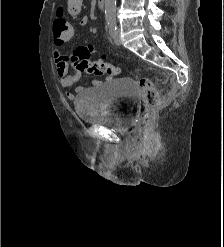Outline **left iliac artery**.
Masks as SVG:
<instances>
[{"label":"left iliac artery","mask_w":224,"mask_h":247,"mask_svg":"<svg viewBox=\"0 0 224 247\" xmlns=\"http://www.w3.org/2000/svg\"><path fill=\"white\" fill-rule=\"evenodd\" d=\"M107 23L109 27V32L113 36V34L115 33L117 29L116 20L114 18H110L108 19Z\"/></svg>","instance_id":"obj_1"}]
</instances>
